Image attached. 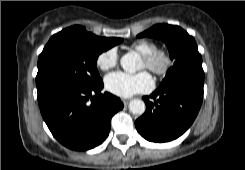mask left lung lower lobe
I'll list each match as a JSON object with an SVG mask.
<instances>
[{
    "label": "left lung lower lobe",
    "mask_w": 245,
    "mask_h": 170,
    "mask_svg": "<svg viewBox=\"0 0 245 170\" xmlns=\"http://www.w3.org/2000/svg\"><path fill=\"white\" fill-rule=\"evenodd\" d=\"M203 85L204 83L190 80L176 81L157 88L150 96L143 97L146 111L135 122L138 132L146 140L157 143L181 136L192 125L199 112L203 100Z\"/></svg>",
    "instance_id": "obj_1"
}]
</instances>
